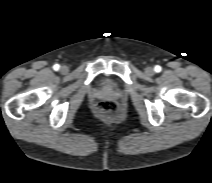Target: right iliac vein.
Masks as SVG:
<instances>
[{"label": "right iliac vein", "mask_w": 212, "mask_h": 183, "mask_svg": "<svg viewBox=\"0 0 212 183\" xmlns=\"http://www.w3.org/2000/svg\"><path fill=\"white\" fill-rule=\"evenodd\" d=\"M60 71L62 74H67L69 72V67L66 65L61 66Z\"/></svg>", "instance_id": "63e3f726"}]
</instances>
